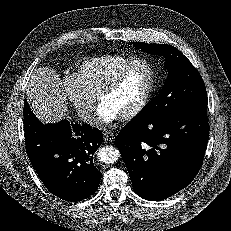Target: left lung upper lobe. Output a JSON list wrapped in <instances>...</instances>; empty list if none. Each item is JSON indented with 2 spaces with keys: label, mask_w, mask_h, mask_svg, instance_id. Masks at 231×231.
I'll return each mask as SVG.
<instances>
[{
  "label": "left lung upper lobe",
  "mask_w": 231,
  "mask_h": 231,
  "mask_svg": "<svg viewBox=\"0 0 231 231\" xmlns=\"http://www.w3.org/2000/svg\"><path fill=\"white\" fill-rule=\"evenodd\" d=\"M133 45L149 54L164 56L169 71L160 93L133 120L157 121L187 109L207 106L206 87L200 73L177 48L144 42H133Z\"/></svg>",
  "instance_id": "obj_1"
}]
</instances>
